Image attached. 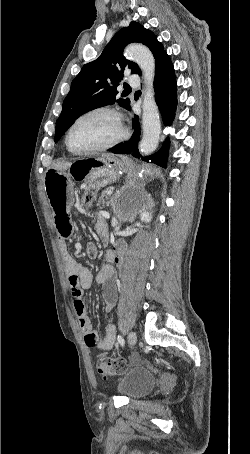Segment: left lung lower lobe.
Segmentation results:
<instances>
[{
	"label": "left lung lower lobe",
	"instance_id": "0a47b994",
	"mask_svg": "<svg viewBox=\"0 0 250 454\" xmlns=\"http://www.w3.org/2000/svg\"><path fill=\"white\" fill-rule=\"evenodd\" d=\"M155 99L159 107L165 125H170L174 118L177 105L176 98V78L172 62L167 53L156 63L154 78ZM131 109V107H129ZM135 129L130 140L119 143L110 149L115 154H131L140 158L137 146L140 139V126L138 116L133 119ZM169 141L166 140L162 148L154 155L142 157V160L155 163L161 167H166Z\"/></svg>",
	"mask_w": 250,
	"mask_h": 454
}]
</instances>
